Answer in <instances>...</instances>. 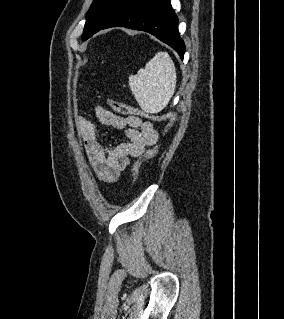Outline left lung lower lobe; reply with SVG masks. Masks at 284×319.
Wrapping results in <instances>:
<instances>
[{
	"label": "left lung lower lobe",
	"instance_id": "0a47b994",
	"mask_svg": "<svg viewBox=\"0 0 284 319\" xmlns=\"http://www.w3.org/2000/svg\"><path fill=\"white\" fill-rule=\"evenodd\" d=\"M126 27L148 32L184 57L185 44L178 32V18L170 0H124L101 28Z\"/></svg>",
	"mask_w": 284,
	"mask_h": 319
}]
</instances>
